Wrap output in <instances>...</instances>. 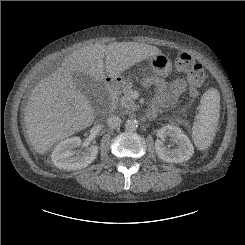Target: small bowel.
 Instances as JSON below:
<instances>
[{"label":"small bowel","mask_w":245,"mask_h":245,"mask_svg":"<svg viewBox=\"0 0 245 245\" xmlns=\"http://www.w3.org/2000/svg\"><path fill=\"white\" fill-rule=\"evenodd\" d=\"M145 83L154 90V97L147 111L148 117H154L161 108L170 109L171 111L177 109V101L185 90V80L183 78H177L167 83L161 78L148 77Z\"/></svg>","instance_id":"small-bowel-1"}]
</instances>
